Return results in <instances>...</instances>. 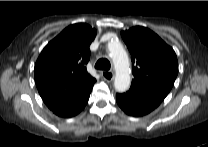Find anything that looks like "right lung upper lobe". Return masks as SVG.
I'll return each mask as SVG.
<instances>
[{"label":"right lung upper lobe","mask_w":208,"mask_h":147,"mask_svg":"<svg viewBox=\"0 0 208 147\" xmlns=\"http://www.w3.org/2000/svg\"><path fill=\"white\" fill-rule=\"evenodd\" d=\"M96 30L84 23L65 28L39 55L34 77L44 103L54 110L72 104L92 90L95 83L86 70L89 46Z\"/></svg>","instance_id":"1"}]
</instances>
